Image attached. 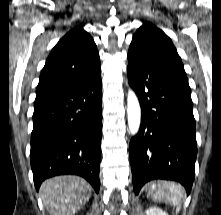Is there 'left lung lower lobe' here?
<instances>
[{
	"mask_svg": "<svg viewBox=\"0 0 221 215\" xmlns=\"http://www.w3.org/2000/svg\"><path fill=\"white\" fill-rule=\"evenodd\" d=\"M128 80L141 106L130 142L135 193L153 179L175 180L190 193L197 155L191 91L184 68L128 55Z\"/></svg>",
	"mask_w": 221,
	"mask_h": 215,
	"instance_id": "0a47b994",
	"label": "left lung lower lobe"
}]
</instances>
